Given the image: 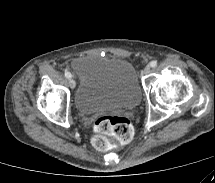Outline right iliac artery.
I'll return each instance as SVG.
<instances>
[{"label":"right iliac artery","instance_id":"82829eb1","mask_svg":"<svg viewBox=\"0 0 215 183\" xmlns=\"http://www.w3.org/2000/svg\"><path fill=\"white\" fill-rule=\"evenodd\" d=\"M65 76H66L68 79H70V78L72 77L71 73L68 72V71L65 72Z\"/></svg>","mask_w":215,"mask_h":183}]
</instances>
